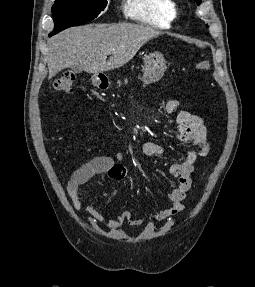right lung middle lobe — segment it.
<instances>
[{
    "instance_id": "right-lung-middle-lobe-1",
    "label": "right lung middle lobe",
    "mask_w": 255,
    "mask_h": 287,
    "mask_svg": "<svg viewBox=\"0 0 255 287\" xmlns=\"http://www.w3.org/2000/svg\"><path fill=\"white\" fill-rule=\"evenodd\" d=\"M106 5L107 0H56L52 6L55 28L50 36L93 20Z\"/></svg>"
}]
</instances>
